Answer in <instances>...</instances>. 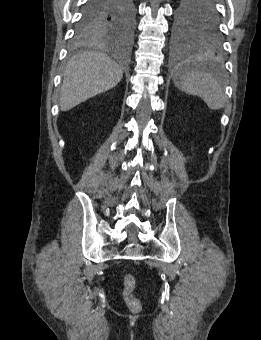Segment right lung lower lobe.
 Returning <instances> with one entry per match:
<instances>
[{"label":"right lung lower lobe","instance_id":"1","mask_svg":"<svg viewBox=\"0 0 261 340\" xmlns=\"http://www.w3.org/2000/svg\"><path fill=\"white\" fill-rule=\"evenodd\" d=\"M124 6L125 0H87L81 21L103 14L116 15L120 9H124Z\"/></svg>","mask_w":261,"mask_h":340}]
</instances>
